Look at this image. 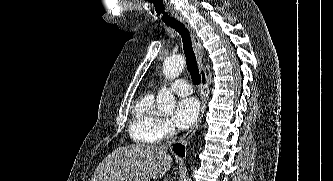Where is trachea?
Returning <instances> with one entry per match:
<instances>
[{
	"label": "trachea",
	"instance_id": "3493384b",
	"mask_svg": "<svg viewBox=\"0 0 333 181\" xmlns=\"http://www.w3.org/2000/svg\"><path fill=\"white\" fill-rule=\"evenodd\" d=\"M165 24L175 29L182 37L183 49L186 56L187 69L190 72L194 84L199 85L201 81L196 57L192 48L191 37L185 26L177 20L165 21Z\"/></svg>",
	"mask_w": 333,
	"mask_h": 181
}]
</instances>
